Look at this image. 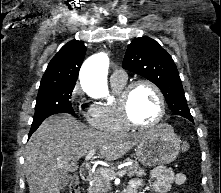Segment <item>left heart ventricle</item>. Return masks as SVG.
Here are the masks:
<instances>
[{"mask_svg":"<svg viewBox=\"0 0 221 193\" xmlns=\"http://www.w3.org/2000/svg\"><path fill=\"white\" fill-rule=\"evenodd\" d=\"M130 112L138 123L148 124L154 121L159 112V101L152 88L147 85H139L133 90Z\"/></svg>","mask_w":221,"mask_h":193,"instance_id":"obj_1","label":"left heart ventricle"}]
</instances>
